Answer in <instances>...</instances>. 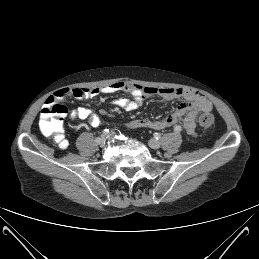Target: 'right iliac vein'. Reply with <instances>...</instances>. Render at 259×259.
Instances as JSON below:
<instances>
[{
    "instance_id": "obj_1",
    "label": "right iliac vein",
    "mask_w": 259,
    "mask_h": 259,
    "mask_svg": "<svg viewBox=\"0 0 259 259\" xmlns=\"http://www.w3.org/2000/svg\"><path fill=\"white\" fill-rule=\"evenodd\" d=\"M100 146H104L106 143L105 137H100V140L96 142Z\"/></svg>"
}]
</instances>
